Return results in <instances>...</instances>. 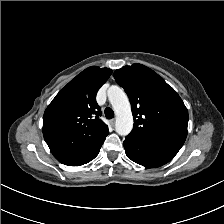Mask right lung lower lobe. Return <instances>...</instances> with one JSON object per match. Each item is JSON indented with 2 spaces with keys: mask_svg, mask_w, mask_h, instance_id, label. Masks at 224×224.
<instances>
[{
  "mask_svg": "<svg viewBox=\"0 0 224 224\" xmlns=\"http://www.w3.org/2000/svg\"><path fill=\"white\" fill-rule=\"evenodd\" d=\"M79 135L54 127L43 128L44 139L54 157L68 166H80L93 160L108 135Z\"/></svg>",
  "mask_w": 224,
  "mask_h": 224,
  "instance_id": "98d812e1",
  "label": "right lung lower lobe"
}]
</instances>
